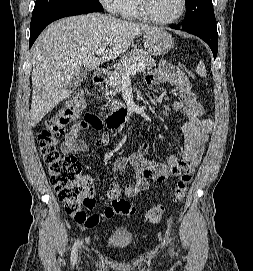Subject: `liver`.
I'll list each match as a JSON object with an SVG mask.
<instances>
[{"label": "liver", "instance_id": "6515ba94", "mask_svg": "<svg viewBox=\"0 0 253 271\" xmlns=\"http://www.w3.org/2000/svg\"><path fill=\"white\" fill-rule=\"evenodd\" d=\"M156 27L102 14L68 17L49 25L32 47L31 126L73 91L69 84L82 66L97 69L101 62L125 53L135 37ZM100 48L105 54L94 56Z\"/></svg>", "mask_w": 253, "mask_h": 271}]
</instances>
